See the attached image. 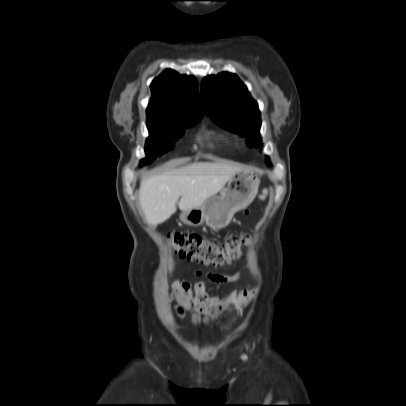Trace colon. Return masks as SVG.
Wrapping results in <instances>:
<instances>
[{
	"instance_id": "1",
	"label": "colon",
	"mask_w": 406,
	"mask_h": 406,
	"mask_svg": "<svg viewBox=\"0 0 406 406\" xmlns=\"http://www.w3.org/2000/svg\"><path fill=\"white\" fill-rule=\"evenodd\" d=\"M166 239L173 245L179 258L214 267L239 259L242 248L249 242L248 235H240L229 237L222 244H215L198 234L181 232L169 233Z\"/></svg>"
}]
</instances>
